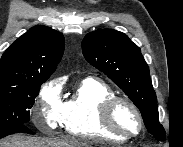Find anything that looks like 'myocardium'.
Segmentation results:
<instances>
[{"mask_svg": "<svg viewBox=\"0 0 183 147\" xmlns=\"http://www.w3.org/2000/svg\"><path fill=\"white\" fill-rule=\"evenodd\" d=\"M118 103H124L128 105L130 108H132V110L137 115L139 124H140L139 130L137 133L129 134V133L123 132L115 125L113 121V110ZM99 118L105 129H107L112 134L124 139H131L139 136L145 128L144 117L140 109L138 108V106L130 99L122 96L114 95L104 100L99 107Z\"/></svg>", "mask_w": 183, "mask_h": 147, "instance_id": "obj_1", "label": "myocardium"}]
</instances>
